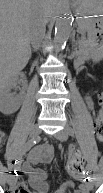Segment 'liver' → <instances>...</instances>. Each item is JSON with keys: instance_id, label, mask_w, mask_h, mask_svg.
<instances>
[{"instance_id": "liver-1", "label": "liver", "mask_w": 103, "mask_h": 193, "mask_svg": "<svg viewBox=\"0 0 103 193\" xmlns=\"http://www.w3.org/2000/svg\"><path fill=\"white\" fill-rule=\"evenodd\" d=\"M57 0H1V75L21 71L31 57L29 28L33 16L55 12Z\"/></svg>"}]
</instances>
